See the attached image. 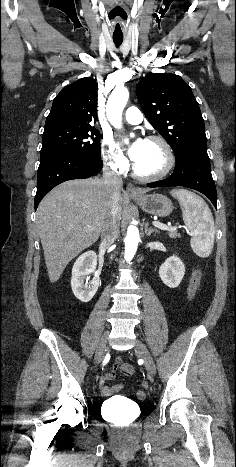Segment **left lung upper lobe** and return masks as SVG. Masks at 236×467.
<instances>
[{"label":"left lung upper lobe","instance_id":"5c2ea615","mask_svg":"<svg viewBox=\"0 0 236 467\" xmlns=\"http://www.w3.org/2000/svg\"><path fill=\"white\" fill-rule=\"evenodd\" d=\"M142 110L167 140L176 161L193 147L206 146L202 114L191 88L174 74H149L136 88Z\"/></svg>","mask_w":236,"mask_h":467}]
</instances>
